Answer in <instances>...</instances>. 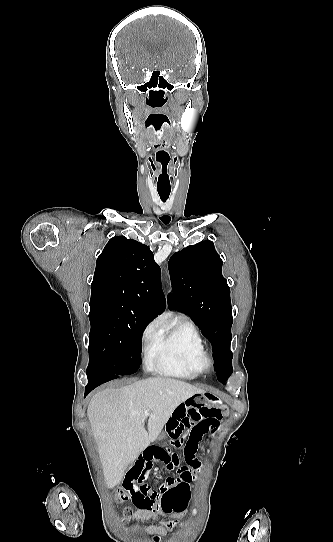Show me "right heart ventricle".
<instances>
[{
  "mask_svg": "<svg viewBox=\"0 0 333 542\" xmlns=\"http://www.w3.org/2000/svg\"><path fill=\"white\" fill-rule=\"evenodd\" d=\"M206 354L202 337L190 321L178 322L159 336L144 350L145 364L165 375L194 379L202 373L201 360Z\"/></svg>",
  "mask_w": 333,
  "mask_h": 542,
  "instance_id": "1",
  "label": "right heart ventricle"
}]
</instances>
